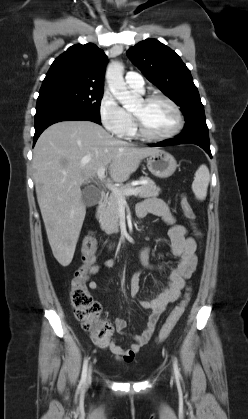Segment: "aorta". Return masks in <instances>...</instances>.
I'll use <instances>...</instances> for the list:
<instances>
[{
  "label": "aorta",
  "mask_w": 248,
  "mask_h": 419,
  "mask_svg": "<svg viewBox=\"0 0 248 419\" xmlns=\"http://www.w3.org/2000/svg\"><path fill=\"white\" fill-rule=\"evenodd\" d=\"M124 67L118 61H112L107 68L106 79L108 87L115 98L127 109L135 107L139 101V97L132 94L126 87L123 78Z\"/></svg>",
  "instance_id": "obj_1"
}]
</instances>
